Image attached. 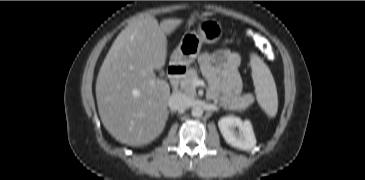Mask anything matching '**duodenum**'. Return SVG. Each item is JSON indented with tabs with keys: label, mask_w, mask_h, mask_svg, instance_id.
Wrapping results in <instances>:
<instances>
[{
	"label": "duodenum",
	"mask_w": 365,
	"mask_h": 180,
	"mask_svg": "<svg viewBox=\"0 0 365 180\" xmlns=\"http://www.w3.org/2000/svg\"><path fill=\"white\" fill-rule=\"evenodd\" d=\"M186 73V68L180 65H172L168 68L169 83L172 88H176L179 80Z\"/></svg>",
	"instance_id": "obj_1"
}]
</instances>
